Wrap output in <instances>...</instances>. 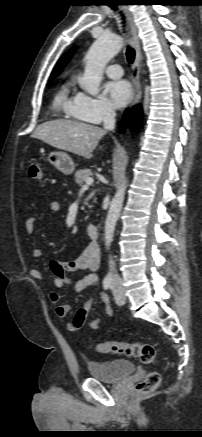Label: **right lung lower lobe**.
Segmentation results:
<instances>
[{
    "mask_svg": "<svg viewBox=\"0 0 202 437\" xmlns=\"http://www.w3.org/2000/svg\"><path fill=\"white\" fill-rule=\"evenodd\" d=\"M142 118V110L140 106H135L133 109H126L119 130L123 132L129 123L132 129L139 127Z\"/></svg>",
    "mask_w": 202,
    "mask_h": 437,
    "instance_id": "obj_1",
    "label": "right lung lower lobe"
}]
</instances>
